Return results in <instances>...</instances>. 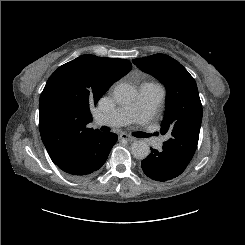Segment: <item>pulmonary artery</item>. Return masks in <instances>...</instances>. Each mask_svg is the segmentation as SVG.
Returning <instances> with one entry per match:
<instances>
[{"mask_svg": "<svg viewBox=\"0 0 245 245\" xmlns=\"http://www.w3.org/2000/svg\"><path fill=\"white\" fill-rule=\"evenodd\" d=\"M165 92L159 85L143 83L138 90V96L134 102L126 106H120L110 113H101L96 117L99 124L108 126H121L130 121H136L142 125V131H146V125L158 112ZM162 147V140H158L157 148Z\"/></svg>", "mask_w": 245, "mask_h": 245, "instance_id": "e3ab8cb5", "label": "pulmonary artery"}]
</instances>
